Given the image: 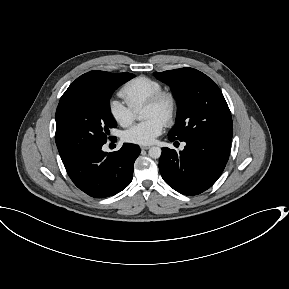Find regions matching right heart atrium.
I'll use <instances>...</instances> for the list:
<instances>
[{"label":"right heart atrium","instance_id":"obj_1","mask_svg":"<svg viewBox=\"0 0 289 289\" xmlns=\"http://www.w3.org/2000/svg\"><path fill=\"white\" fill-rule=\"evenodd\" d=\"M108 108L113 120L122 127L130 126L135 120L136 111L120 100L111 99Z\"/></svg>","mask_w":289,"mask_h":289}]
</instances>
